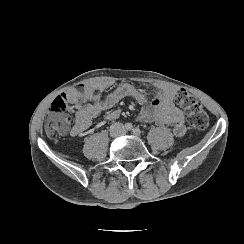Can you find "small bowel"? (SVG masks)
I'll use <instances>...</instances> for the list:
<instances>
[{
	"mask_svg": "<svg viewBox=\"0 0 244 244\" xmlns=\"http://www.w3.org/2000/svg\"><path fill=\"white\" fill-rule=\"evenodd\" d=\"M112 82L99 80L85 85L86 93L71 90L68 98L76 109L75 123L71 129L73 136L84 133L93 120L102 112L113 107L118 101L126 97L133 98L140 106L138 120L143 123H153L157 126H171L172 134L182 138L187 133L184 112L175 105L177 90L171 86L161 85L153 92H146L128 83H119L111 92L103 95L102 92L111 87ZM96 89V93H90ZM120 110L114 109L105 115L107 122L120 117Z\"/></svg>",
	"mask_w": 244,
	"mask_h": 244,
	"instance_id": "1",
	"label": "small bowel"
}]
</instances>
